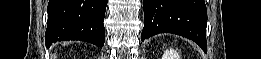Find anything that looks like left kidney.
<instances>
[{
  "instance_id": "left-kidney-1",
  "label": "left kidney",
  "mask_w": 261,
  "mask_h": 59,
  "mask_svg": "<svg viewBox=\"0 0 261 59\" xmlns=\"http://www.w3.org/2000/svg\"><path fill=\"white\" fill-rule=\"evenodd\" d=\"M162 59H180V56L175 50L170 49L164 52Z\"/></svg>"
}]
</instances>
